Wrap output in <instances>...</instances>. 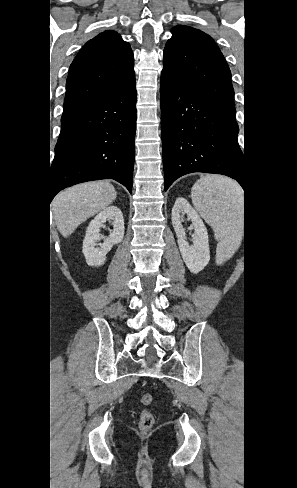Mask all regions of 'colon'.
I'll use <instances>...</instances> for the list:
<instances>
[{"instance_id": "5ec220e1", "label": "colon", "mask_w": 297, "mask_h": 488, "mask_svg": "<svg viewBox=\"0 0 297 488\" xmlns=\"http://www.w3.org/2000/svg\"><path fill=\"white\" fill-rule=\"evenodd\" d=\"M152 395L149 393L143 394L141 397V403L145 406L150 405L152 403ZM139 428L143 431L149 430L154 424V416L148 410H143L140 413L139 417Z\"/></svg>"}]
</instances>
